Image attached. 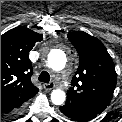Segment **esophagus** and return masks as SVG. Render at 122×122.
I'll return each instance as SVG.
<instances>
[{"instance_id": "obj_1", "label": "esophagus", "mask_w": 122, "mask_h": 122, "mask_svg": "<svg viewBox=\"0 0 122 122\" xmlns=\"http://www.w3.org/2000/svg\"><path fill=\"white\" fill-rule=\"evenodd\" d=\"M44 88H45L46 90H52V89L55 88V84L52 83V82L46 83V84H44Z\"/></svg>"}]
</instances>
